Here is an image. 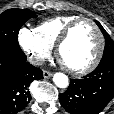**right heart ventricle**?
Returning a JSON list of instances; mask_svg holds the SVG:
<instances>
[{
	"label": "right heart ventricle",
	"instance_id": "right-heart-ventricle-1",
	"mask_svg": "<svg viewBox=\"0 0 114 114\" xmlns=\"http://www.w3.org/2000/svg\"><path fill=\"white\" fill-rule=\"evenodd\" d=\"M79 18L76 15H62L49 18L39 23L34 31L48 45L53 47L66 26Z\"/></svg>",
	"mask_w": 114,
	"mask_h": 114
}]
</instances>
